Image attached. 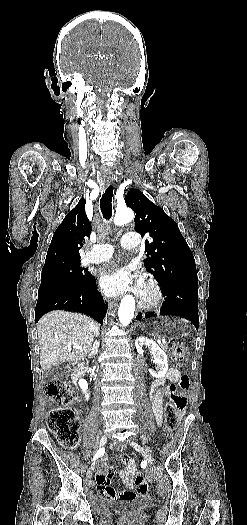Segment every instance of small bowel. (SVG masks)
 <instances>
[{
  "label": "small bowel",
  "instance_id": "1",
  "mask_svg": "<svg viewBox=\"0 0 247 525\" xmlns=\"http://www.w3.org/2000/svg\"><path fill=\"white\" fill-rule=\"evenodd\" d=\"M181 376V372L176 368H170L167 372V379L172 383H178ZM151 401L156 420L158 423H161L163 412V392L160 389L153 392L151 394ZM120 462L123 464V469L120 471V477L123 485L126 487V490L121 491L117 494L116 489H114V487L108 484L107 482V480L111 481L113 479V476L111 474H118V469L116 468L111 469V474H108L107 476L103 472L97 473L95 476L97 482L93 487L94 492L97 494H103L104 496L108 495L110 497L115 496L116 502L129 501L133 499L134 493L132 476L137 471L136 462L127 455H122L120 458Z\"/></svg>",
  "mask_w": 247,
  "mask_h": 525
}]
</instances>
